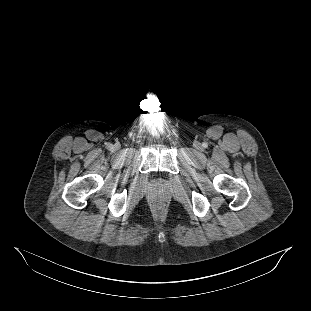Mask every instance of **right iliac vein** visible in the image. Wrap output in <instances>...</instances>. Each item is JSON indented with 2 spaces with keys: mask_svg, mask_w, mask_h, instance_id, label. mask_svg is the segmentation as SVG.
Wrapping results in <instances>:
<instances>
[{
  "mask_svg": "<svg viewBox=\"0 0 311 311\" xmlns=\"http://www.w3.org/2000/svg\"><path fill=\"white\" fill-rule=\"evenodd\" d=\"M120 148V146L117 144V145H115V149H119Z\"/></svg>",
  "mask_w": 311,
  "mask_h": 311,
  "instance_id": "63e3f726",
  "label": "right iliac vein"
}]
</instances>
